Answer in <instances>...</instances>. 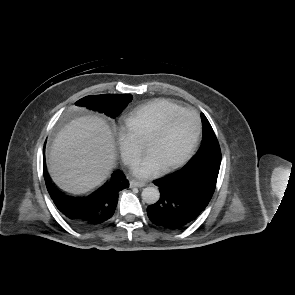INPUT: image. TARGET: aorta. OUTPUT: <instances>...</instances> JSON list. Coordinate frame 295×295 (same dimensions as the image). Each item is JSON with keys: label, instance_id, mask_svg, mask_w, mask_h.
<instances>
[{"label": "aorta", "instance_id": "aorta-1", "mask_svg": "<svg viewBox=\"0 0 295 295\" xmlns=\"http://www.w3.org/2000/svg\"><path fill=\"white\" fill-rule=\"evenodd\" d=\"M142 200L151 205L156 203L160 198L159 190L155 187H146L142 191Z\"/></svg>", "mask_w": 295, "mask_h": 295}]
</instances>
